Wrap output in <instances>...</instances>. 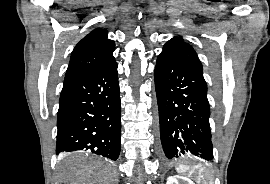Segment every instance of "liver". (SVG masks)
I'll use <instances>...</instances> for the list:
<instances>
[{
    "instance_id": "1",
    "label": "liver",
    "mask_w": 270,
    "mask_h": 184,
    "mask_svg": "<svg viewBox=\"0 0 270 184\" xmlns=\"http://www.w3.org/2000/svg\"><path fill=\"white\" fill-rule=\"evenodd\" d=\"M58 180L59 184H115L117 174L110 163L83 162L63 169Z\"/></svg>"
}]
</instances>
